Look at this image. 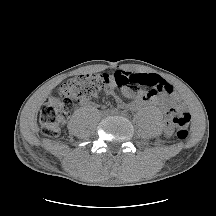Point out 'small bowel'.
<instances>
[{"mask_svg":"<svg viewBox=\"0 0 216 216\" xmlns=\"http://www.w3.org/2000/svg\"><path fill=\"white\" fill-rule=\"evenodd\" d=\"M125 73L129 76L120 75L117 78L120 86L112 85L107 93L116 95V92H119L125 98L134 100L136 105L154 103L166 111L180 104V97L175 93V89L160 76L152 73ZM116 101L118 106H124L121 99L117 98ZM171 132L172 126L167 124L166 135Z\"/></svg>","mask_w":216,"mask_h":216,"instance_id":"obj_1","label":"small bowel"}]
</instances>
